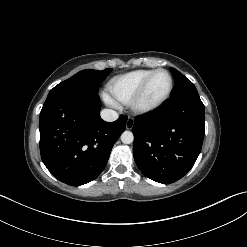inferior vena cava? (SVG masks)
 Returning <instances> with one entry per match:
<instances>
[{
    "mask_svg": "<svg viewBox=\"0 0 247 247\" xmlns=\"http://www.w3.org/2000/svg\"><path fill=\"white\" fill-rule=\"evenodd\" d=\"M101 118L107 122H113L118 119V113L111 109H103L101 111Z\"/></svg>",
    "mask_w": 247,
    "mask_h": 247,
    "instance_id": "inferior-vena-cava-1",
    "label": "inferior vena cava"
}]
</instances>
